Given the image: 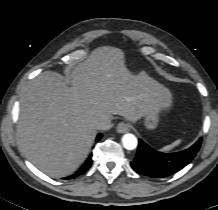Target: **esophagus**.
Segmentation results:
<instances>
[{
    "label": "esophagus",
    "instance_id": "1",
    "mask_svg": "<svg viewBox=\"0 0 218 210\" xmlns=\"http://www.w3.org/2000/svg\"><path fill=\"white\" fill-rule=\"evenodd\" d=\"M116 130L118 133H126V132L130 131V126L128 123L120 122L117 125Z\"/></svg>",
    "mask_w": 218,
    "mask_h": 210
}]
</instances>
